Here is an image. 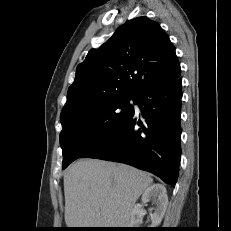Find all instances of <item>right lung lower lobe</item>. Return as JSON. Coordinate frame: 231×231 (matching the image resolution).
I'll use <instances>...</instances> for the list:
<instances>
[{"mask_svg":"<svg viewBox=\"0 0 231 231\" xmlns=\"http://www.w3.org/2000/svg\"><path fill=\"white\" fill-rule=\"evenodd\" d=\"M181 90V78L143 89L135 96V103L144 122L133 112L119 130L82 158L129 164L175 186L181 155Z\"/></svg>","mask_w":231,"mask_h":231,"instance_id":"right-lung-lower-lobe-1","label":"right lung lower lobe"}]
</instances>
